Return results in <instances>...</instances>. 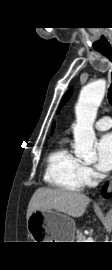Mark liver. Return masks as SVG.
I'll return each mask as SVG.
<instances>
[{"label":"liver","mask_w":112,"mask_h":270,"mask_svg":"<svg viewBox=\"0 0 112 270\" xmlns=\"http://www.w3.org/2000/svg\"><path fill=\"white\" fill-rule=\"evenodd\" d=\"M89 202L90 198L80 192L42 187L35 191L29 202L27 219L34 211L41 209H51L68 216L81 217Z\"/></svg>","instance_id":"1"}]
</instances>
